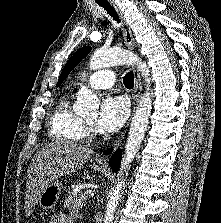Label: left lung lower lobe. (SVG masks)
<instances>
[{"mask_svg": "<svg viewBox=\"0 0 221 223\" xmlns=\"http://www.w3.org/2000/svg\"><path fill=\"white\" fill-rule=\"evenodd\" d=\"M112 152L111 149H108L106 151H104V154H110ZM121 156H122V151L121 150H117L113 156L110 158L109 160V165L110 167L113 169V171H118L120 168V164H121Z\"/></svg>", "mask_w": 221, "mask_h": 223, "instance_id": "obj_1", "label": "left lung lower lobe"}]
</instances>
